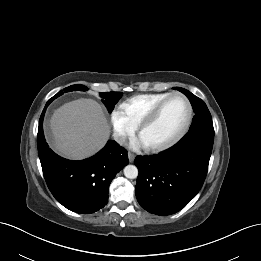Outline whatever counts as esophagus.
I'll return each mask as SVG.
<instances>
[{
	"mask_svg": "<svg viewBox=\"0 0 261 261\" xmlns=\"http://www.w3.org/2000/svg\"><path fill=\"white\" fill-rule=\"evenodd\" d=\"M128 159L132 163L134 161V159H135V155L133 153L129 152L128 153Z\"/></svg>",
	"mask_w": 261,
	"mask_h": 261,
	"instance_id": "1",
	"label": "esophagus"
}]
</instances>
